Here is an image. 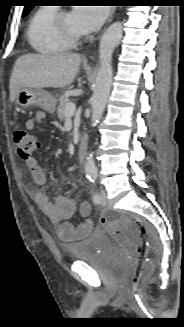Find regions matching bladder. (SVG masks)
<instances>
[{"label": "bladder", "mask_w": 184, "mask_h": 327, "mask_svg": "<svg viewBox=\"0 0 184 327\" xmlns=\"http://www.w3.org/2000/svg\"><path fill=\"white\" fill-rule=\"evenodd\" d=\"M66 250L76 262L91 263L102 253H113L122 264H126L121 254L114 249L109 236L99 230L91 231L81 241L68 244Z\"/></svg>", "instance_id": "1"}]
</instances>
